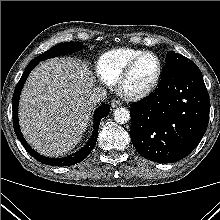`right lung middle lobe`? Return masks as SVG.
<instances>
[{"mask_svg":"<svg viewBox=\"0 0 220 220\" xmlns=\"http://www.w3.org/2000/svg\"><path fill=\"white\" fill-rule=\"evenodd\" d=\"M83 48V42H65L60 43L52 47L51 49L47 50L46 52L42 53L32 61L40 62L42 60L52 58L59 55L69 54L76 51H79Z\"/></svg>","mask_w":220,"mask_h":220,"instance_id":"obj_1","label":"right lung middle lobe"}]
</instances>
